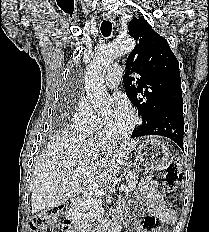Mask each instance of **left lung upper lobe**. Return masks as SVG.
<instances>
[{"mask_svg":"<svg viewBox=\"0 0 209 232\" xmlns=\"http://www.w3.org/2000/svg\"><path fill=\"white\" fill-rule=\"evenodd\" d=\"M128 28L136 46L127 58L123 82L144 124L164 109L183 106L179 62L165 38L144 18H133ZM132 73L139 77H129Z\"/></svg>","mask_w":209,"mask_h":232,"instance_id":"left-lung-upper-lobe-1","label":"left lung upper lobe"}]
</instances>
